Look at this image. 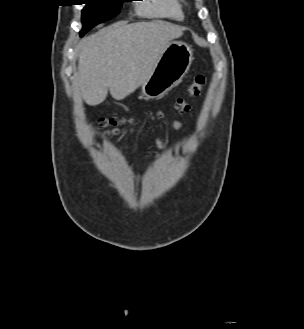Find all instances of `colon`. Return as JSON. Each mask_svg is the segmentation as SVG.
<instances>
[{
    "label": "colon",
    "instance_id": "5ec220e1",
    "mask_svg": "<svg viewBox=\"0 0 304 329\" xmlns=\"http://www.w3.org/2000/svg\"><path fill=\"white\" fill-rule=\"evenodd\" d=\"M205 83V76L202 73L196 74L190 85L188 86V96L179 98L176 101L175 108L180 112L184 113L189 108V100L193 97H196L201 92V89ZM159 117H163V112H158ZM132 118H110V119H101L97 122V126L106 131V132H116L119 130H126V127L133 123Z\"/></svg>",
    "mask_w": 304,
    "mask_h": 329
}]
</instances>
